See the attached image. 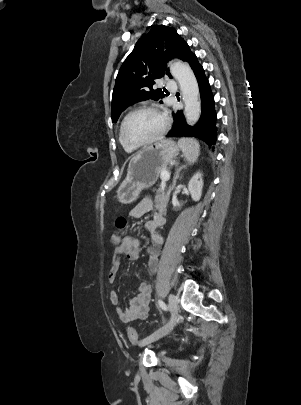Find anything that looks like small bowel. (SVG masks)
<instances>
[{"mask_svg":"<svg viewBox=\"0 0 301 405\" xmlns=\"http://www.w3.org/2000/svg\"><path fill=\"white\" fill-rule=\"evenodd\" d=\"M147 213H151V219L146 222L145 227L149 231L153 242V245L147 248L148 271L153 274L158 268L160 247L163 244V238L157 233V228L165 222L164 209L161 206L155 209L152 200L145 198L130 211L129 216L136 219ZM139 251L140 241L132 236L122 237L120 246L113 249L112 261L107 276L108 282L112 286L109 299L111 304L116 307L117 316L122 322H132L146 318L150 310L152 289L149 284L140 283L136 295L129 299L126 307L119 306V297L113 288L122 258L125 257L129 261L137 260Z\"/></svg>","mask_w":301,"mask_h":405,"instance_id":"obj_1","label":"small bowel"}]
</instances>
